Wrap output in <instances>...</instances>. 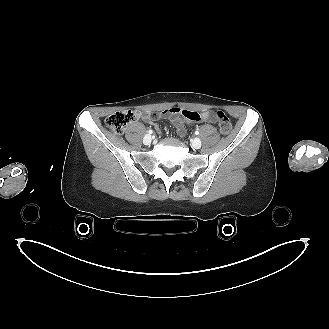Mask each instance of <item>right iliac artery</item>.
<instances>
[{"instance_id":"82829eb1","label":"right iliac artery","mask_w":329,"mask_h":329,"mask_svg":"<svg viewBox=\"0 0 329 329\" xmlns=\"http://www.w3.org/2000/svg\"><path fill=\"white\" fill-rule=\"evenodd\" d=\"M148 132H149L150 134H152V133H153V131H152V130H149Z\"/></svg>"}]
</instances>
